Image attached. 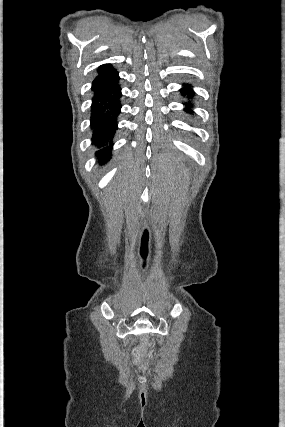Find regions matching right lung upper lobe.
<instances>
[{"instance_id":"obj_1","label":"right lung upper lobe","mask_w":285,"mask_h":427,"mask_svg":"<svg viewBox=\"0 0 285 427\" xmlns=\"http://www.w3.org/2000/svg\"><path fill=\"white\" fill-rule=\"evenodd\" d=\"M99 71H100L99 75H101V74H104V73H108V72L114 71V69L110 65L105 64V65H102V66L99 67Z\"/></svg>"}]
</instances>
